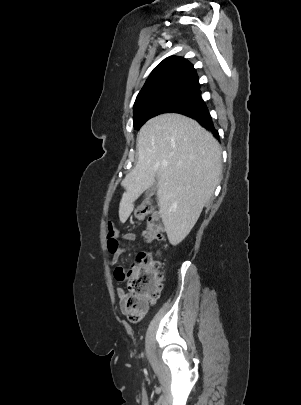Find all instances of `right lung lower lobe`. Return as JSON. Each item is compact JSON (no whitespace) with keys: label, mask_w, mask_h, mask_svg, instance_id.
I'll list each match as a JSON object with an SVG mask.
<instances>
[{"label":"right lung lower lobe","mask_w":301,"mask_h":405,"mask_svg":"<svg viewBox=\"0 0 301 405\" xmlns=\"http://www.w3.org/2000/svg\"><path fill=\"white\" fill-rule=\"evenodd\" d=\"M183 115H186L188 117H191L198 121L205 129L211 131L217 139H219V134L217 130L215 129L212 118L210 116V113L207 109V107L201 108V109H195V110H188V111H183L180 112Z\"/></svg>","instance_id":"98d812e1"}]
</instances>
